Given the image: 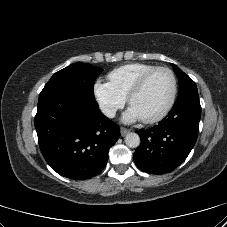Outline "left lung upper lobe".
Segmentation results:
<instances>
[{"label": "left lung upper lobe", "instance_id": "obj_1", "mask_svg": "<svg viewBox=\"0 0 227 227\" xmlns=\"http://www.w3.org/2000/svg\"><path fill=\"white\" fill-rule=\"evenodd\" d=\"M174 71L178 77L179 80V96H182L183 94L197 90V86L195 82L187 75L185 74L178 66L172 64Z\"/></svg>", "mask_w": 227, "mask_h": 227}]
</instances>
